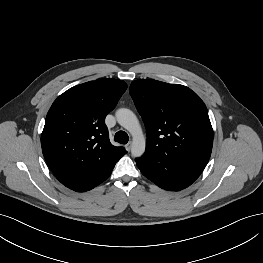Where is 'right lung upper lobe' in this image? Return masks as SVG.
Wrapping results in <instances>:
<instances>
[{"label": "right lung upper lobe", "instance_id": "right-lung-upper-lobe-1", "mask_svg": "<svg viewBox=\"0 0 263 263\" xmlns=\"http://www.w3.org/2000/svg\"><path fill=\"white\" fill-rule=\"evenodd\" d=\"M127 84L101 79L74 86L52 104L41 134L43 155L57 179L75 189L112 169L127 151L109 141L105 117Z\"/></svg>", "mask_w": 263, "mask_h": 263}]
</instances>
